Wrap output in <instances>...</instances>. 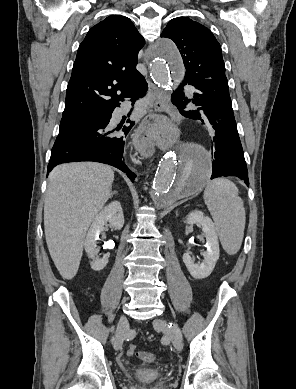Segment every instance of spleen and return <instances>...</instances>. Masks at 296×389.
<instances>
[{
  "mask_svg": "<svg viewBox=\"0 0 296 389\" xmlns=\"http://www.w3.org/2000/svg\"><path fill=\"white\" fill-rule=\"evenodd\" d=\"M238 193L232 181L218 178L207 184L203 194L222 247L230 255L241 247L246 222L244 204Z\"/></svg>",
  "mask_w": 296,
  "mask_h": 389,
  "instance_id": "1",
  "label": "spleen"
}]
</instances>
